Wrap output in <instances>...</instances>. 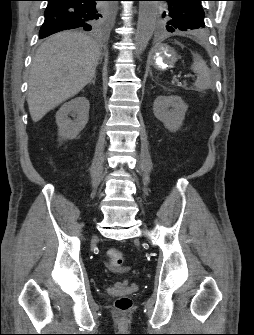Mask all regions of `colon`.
Here are the masks:
<instances>
[{"mask_svg": "<svg viewBox=\"0 0 254 335\" xmlns=\"http://www.w3.org/2000/svg\"><path fill=\"white\" fill-rule=\"evenodd\" d=\"M110 268L120 269L124 263V254L117 249H110L107 253ZM115 307L120 312H127L132 307V301L129 297H119L115 301Z\"/></svg>", "mask_w": 254, "mask_h": 335, "instance_id": "obj_1", "label": "colon"}]
</instances>
